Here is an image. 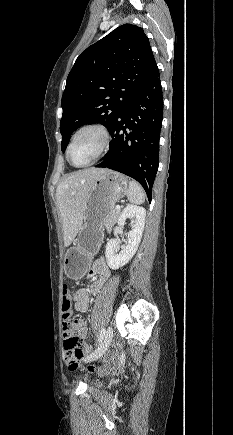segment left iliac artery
<instances>
[{
	"instance_id": "left-iliac-artery-1",
	"label": "left iliac artery",
	"mask_w": 233,
	"mask_h": 435,
	"mask_svg": "<svg viewBox=\"0 0 233 435\" xmlns=\"http://www.w3.org/2000/svg\"><path fill=\"white\" fill-rule=\"evenodd\" d=\"M105 329L103 328L101 331H100V334H99V337H98V341H101L103 338H104V336H105Z\"/></svg>"
}]
</instances>
